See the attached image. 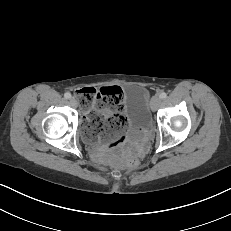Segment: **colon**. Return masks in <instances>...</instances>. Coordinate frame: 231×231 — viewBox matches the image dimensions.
<instances>
[{
	"instance_id": "colon-1",
	"label": "colon",
	"mask_w": 231,
	"mask_h": 231,
	"mask_svg": "<svg viewBox=\"0 0 231 231\" xmlns=\"http://www.w3.org/2000/svg\"><path fill=\"white\" fill-rule=\"evenodd\" d=\"M84 109H89L88 119L95 127L107 135L124 137L127 119L122 112L123 91L118 86L102 88L100 91L83 89L77 91ZM120 165L134 168L135 160L122 159Z\"/></svg>"
}]
</instances>
